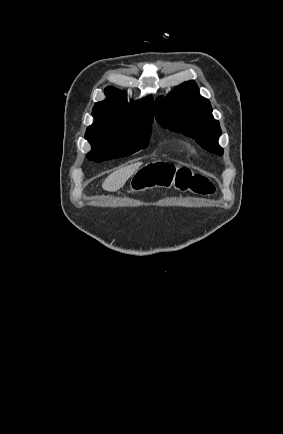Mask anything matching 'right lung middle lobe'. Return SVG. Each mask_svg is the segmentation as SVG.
<instances>
[{"instance_id":"right-lung-middle-lobe-1","label":"right lung middle lobe","mask_w":283,"mask_h":434,"mask_svg":"<svg viewBox=\"0 0 283 434\" xmlns=\"http://www.w3.org/2000/svg\"><path fill=\"white\" fill-rule=\"evenodd\" d=\"M152 123L111 129H87L86 140L92 145L89 159L101 162L133 154L147 147Z\"/></svg>"}]
</instances>
